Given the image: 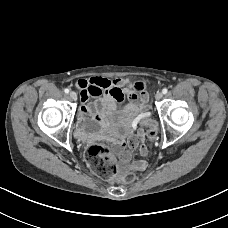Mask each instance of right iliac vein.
<instances>
[{
	"label": "right iliac vein",
	"instance_id": "obj_1",
	"mask_svg": "<svg viewBox=\"0 0 228 228\" xmlns=\"http://www.w3.org/2000/svg\"><path fill=\"white\" fill-rule=\"evenodd\" d=\"M70 97L73 101H76L77 100V94L74 92V91H71L70 92Z\"/></svg>",
	"mask_w": 228,
	"mask_h": 228
}]
</instances>
